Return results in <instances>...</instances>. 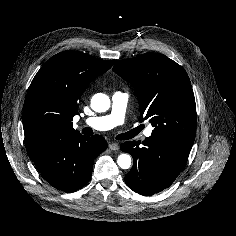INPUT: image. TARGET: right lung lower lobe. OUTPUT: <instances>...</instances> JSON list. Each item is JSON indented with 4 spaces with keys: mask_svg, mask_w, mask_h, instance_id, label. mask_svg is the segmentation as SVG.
Returning <instances> with one entry per match:
<instances>
[{
    "mask_svg": "<svg viewBox=\"0 0 236 236\" xmlns=\"http://www.w3.org/2000/svg\"><path fill=\"white\" fill-rule=\"evenodd\" d=\"M107 148L99 135H67L28 153L45 180L56 189L73 192L90 179L94 159Z\"/></svg>",
    "mask_w": 236,
    "mask_h": 236,
    "instance_id": "right-lung-lower-lobe-1",
    "label": "right lung lower lobe"
}]
</instances>
